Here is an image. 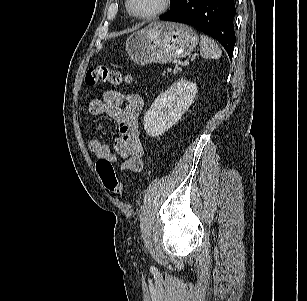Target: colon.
<instances>
[{"label": "colon", "instance_id": "colon-1", "mask_svg": "<svg viewBox=\"0 0 307 301\" xmlns=\"http://www.w3.org/2000/svg\"><path fill=\"white\" fill-rule=\"evenodd\" d=\"M130 81V75L123 74L106 65L91 67L85 76V82L89 86H94L100 83L120 85L123 83H129ZM96 170L103 185L109 192L115 195H122V184L119 181L114 165L110 160L100 158L96 163Z\"/></svg>", "mask_w": 307, "mask_h": 301}]
</instances>
